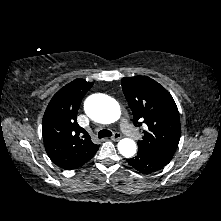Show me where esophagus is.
<instances>
[{"mask_svg":"<svg viewBox=\"0 0 221 221\" xmlns=\"http://www.w3.org/2000/svg\"><path fill=\"white\" fill-rule=\"evenodd\" d=\"M122 138V135L118 132H116L112 137H111V140L112 141H118Z\"/></svg>","mask_w":221,"mask_h":221,"instance_id":"1","label":"esophagus"}]
</instances>
